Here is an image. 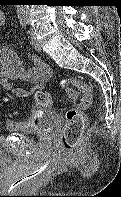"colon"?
Segmentation results:
<instances>
[{
	"label": "colon",
	"mask_w": 121,
	"mask_h": 197,
	"mask_svg": "<svg viewBox=\"0 0 121 197\" xmlns=\"http://www.w3.org/2000/svg\"><path fill=\"white\" fill-rule=\"evenodd\" d=\"M59 84L65 92L67 101H74L80 95L77 106L66 112V122L61 136L63 148L66 151H73L77 147L86 125L83 110L92 105L93 94L90 86L78 78H62ZM35 99L40 106L48 107L53 104L51 96L44 91H38Z\"/></svg>",
	"instance_id": "colon-1"
}]
</instances>
